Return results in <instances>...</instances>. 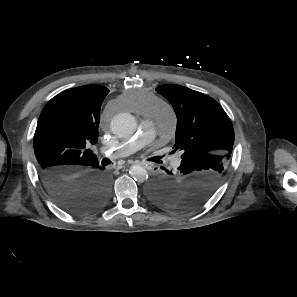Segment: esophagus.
I'll list each match as a JSON object with an SVG mask.
<instances>
[{
    "mask_svg": "<svg viewBox=\"0 0 297 297\" xmlns=\"http://www.w3.org/2000/svg\"><path fill=\"white\" fill-rule=\"evenodd\" d=\"M135 164H138V165H145L146 163H145V162H141V161H136Z\"/></svg>",
    "mask_w": 297,
    "mask_h": 297,
    "instance_id": "34e87169",
    "label": "esophagus"
}]
</instances>
